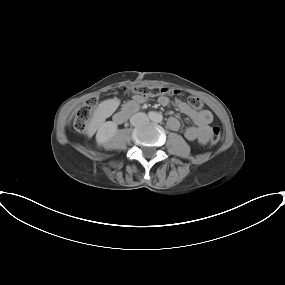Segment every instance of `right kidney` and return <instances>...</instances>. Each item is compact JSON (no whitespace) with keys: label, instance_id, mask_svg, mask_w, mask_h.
<instances>
[{"label":"right kidney","instance_id":"obj_1","mask_svg":"<svg viewBox=\"0 0 285 285\" xmlns=\"http://www.w3.org/2000/svg\"><path fill=\"white\" fill-rule=\"evenodd\" d=\"M117 124L112 121H107L103 123L96 134L97 145L102 146L106 145L108 141L115 135L117 132Z\"/></svg>","mask_w":285,"mask_h":285}]
</instances>
